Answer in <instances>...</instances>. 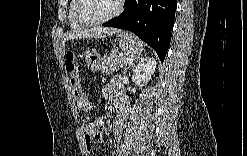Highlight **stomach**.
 Segmentation results:
<instances>
[{
  "label": "stomach",
  "mask_w": 247,
  "mask_h": 156,
  "mask_svg": "<svg viewBox=\"0 0 247 156\" xmlns=\"http://www.w3.org/2000/svg\"><path fill=\"white\" fill-rule=\"evenodd\" d=\"M116 45L127 55L134 57L142 52L141 41L129 32H121L115 38ZM83 59L88 67L94 71L101 70L104 61L103 57L94 50H87Z\"/></svg>",
  "instance_id": "obj_1"
}]
</instances>
